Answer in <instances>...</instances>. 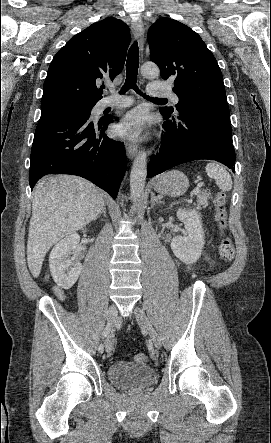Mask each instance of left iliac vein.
Wrapping results in <instances>:
<instances>
[{
    "mask_svg": "<svg viewBox=\"0 0 271 443\" xmlns=\"http://www.w3.org/2000/svg\"><path fill=\"white\" fill-rule=\"evenodd\" d=\"M135 317L138 324L148 332L151 340L153 341L157 349L161 348V340L155 329L153 328L150 320L146 316L145 312L140 307H135L134 309Z\"/></svg>",
    "mask_w": 271,
    "mask_h": 443,
    "instance_id": "left-iliac-vein-1",
    "label": "left iliac vein"
}]
</instances>
